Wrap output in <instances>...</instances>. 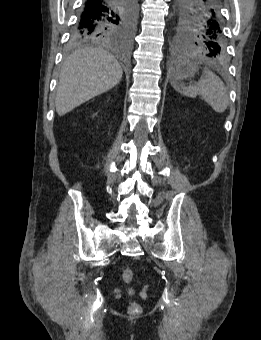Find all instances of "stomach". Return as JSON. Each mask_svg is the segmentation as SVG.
Here are the masks:
<instances>
[{"label":"stomach","instance_id":"stomach-1","mask_svg":"<svg viewBox=\"0 0 261 340\" xmlns=\"http://www.w3.org/2000/svg\"><path fill=\"white\" fill-rule=\"evenodd\" d=\"M197 71L198 67L194 61H184L172 70V78L174 80L190 78L193 77Z\"/></svg>","mask_w":261,"mask_h":340}]
</instances>
